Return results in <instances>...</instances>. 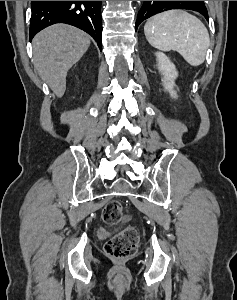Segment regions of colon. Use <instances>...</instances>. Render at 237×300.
<instances>
[{
    "label": "colon",
    "instance_id": "1",
    "mask_svg": "<svg viewBox=\"0 0 237 300\" xmlns=\"http://www.w3.org/2000/svg\"><path fill=\"white\" fill-rule=\"evenodd\" d=\"M123 207L117 200L108 202L102 210V219L106 224L116 225L123 218ZM138 233L133 227H126L112 236L104 245V251L117 260L130 258L137 250Z\"/></svg>",
    "mask_w": 237,
    "mask_h": 300
}]
</instances>
